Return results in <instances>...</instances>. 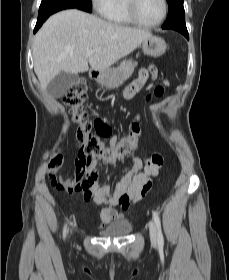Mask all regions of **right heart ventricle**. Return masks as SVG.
I'll list each match as a JSON object with an SVG mask.
<instances>
[{
  "mask_svg": "<svg viewBox=\"0 0 229 280\" xmlns=\"http://www.w3.org/2000/svg\"><path fill=\"white\" fill-rule=\"evenodd\" d=\"M104 17L115 25L129 26L132 24L125 8V0H114L112 7Z\"/></svg>",
  "mask_w": 229,
  "mask_h": 280,
  "instance_id": "obj_1",
  "label": "right heart ventricle"
}]
</instances>
